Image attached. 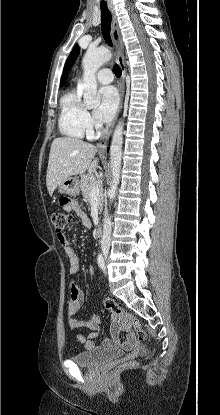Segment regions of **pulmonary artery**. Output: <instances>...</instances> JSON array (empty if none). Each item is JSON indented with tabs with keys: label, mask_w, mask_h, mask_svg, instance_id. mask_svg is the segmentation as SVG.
I'll use <instances>...</instances> for the list:
<instances>
[{
	"label": "pulmonary artery",
	"mask_w": 220,
	"mask_h": 415,
	"mask_svg": "<svg viewBox=\"0 0 220 415\" xmlns=\"http://www.w3.org/2000/svg\"><path fill=\"white\" fill-rule=\"evenodd\" d=\"M97 81L101 84H109L113 81L114 75L109 69H101L96 75Z\"/></svg>",
	"instance_id": "1"
}]
</instances>
